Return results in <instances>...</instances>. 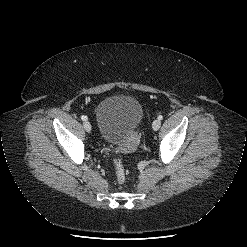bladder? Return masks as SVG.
I'll return each mask as SVG.
<instances>
[{"mask_svg": "<svg viewBox=\"0 0 247 247\" xmlns=\"http://www.w3.org/2000/svg\"><path fill=\"white\" fill-rule=\"evenodd\" d=\"M143 118V107L133 96L114 95L99 102L96 120L102 140L123 153L137 145V129Z\"/></svg>", "mask_w": 247, "mask_h": 247, "instance_id": "bladder-1", "label": "bladder"}]
</instances>
